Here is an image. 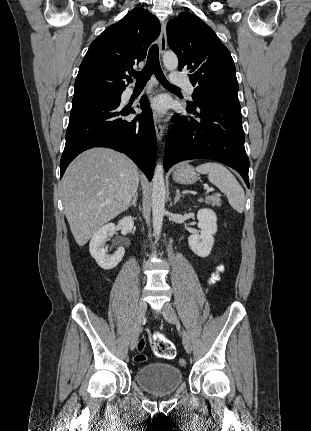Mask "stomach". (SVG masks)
<instances>
[{
    "label": "stomach",
    "mask_w": 311,
    "mask_h": 431,
    "mask_svg": "<svg viewBox=\"0 0 311 431\" xmlns=\"http://www.w3.org/2000/svg\"><path fill=\"white\" fill-rule=\"evenodd\" d=\"M173 180L177 184H183V186H190V184H195L198 178L197 172L193 166H188V164H180L173 172Z\"/></svg>",
    "instance_id": "1"
}]
</instances>
